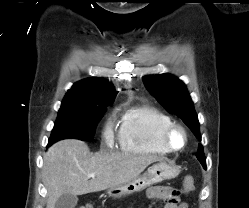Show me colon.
Listing matches in <instances>:
<instances>
[{"instance_id": "5ec220e1", "label": "colon", "mask_w": 249, "mask_h": 208, "mask_svg": "<svg viewBox=\"0 0 249 208\" xmlns=\"http://www.w3.org/2000/svg\"><path fill=\"white\" fill-rule=\"evenodd\" d=\"M194 189V177L192 175H187L184 179L183 191L185 193H190ZM80 208H91L88 205L81 206Z\"/></svg>"}]
</instances>
